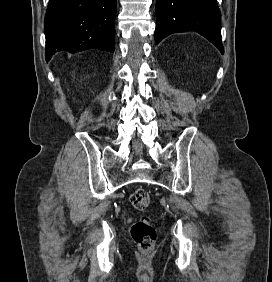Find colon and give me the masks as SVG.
<instances>
[{"label":"colon","mask_w":272,"mask_h":282,"mask_svg":"<svg viewBox=\"0 0 272 282\" xmlns=\"http://www.w3.org/2000/svg\"><path fill=\"white\" fill-rule=\"evenodd\" d=\"M130 202L135 209L144 211L150 204L149 195L143 188H138L131 194ZM131 236L143 252L148 253L153 249L156 231L148 215H143L132 225Z\"/></svg>","instance_id":"obj_1"}]
</instances>
